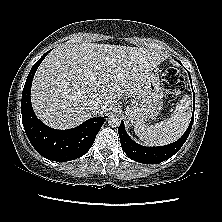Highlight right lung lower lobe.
I'll use <instances>...</instances> for the list:
<instances>
[{
    "label": "right lung lower lobe",
    "instance_id": "98d812e1",
    "mask_svg": "<svg viewBox=\"0 0 222 222\" xmlns=\"http://www.w3.org/2000/svg\"><path fill=\"white\" fill-rule=\"evenodd\" d=\"M46 52L32 67L22 92V122L29 141L43 157L63 162L83 156L92 146L106 117L90 118L81 125L67 130H56L46 126L35 115L30 99L34 74Z\"/></svg>",
    "mask_w": 222,
    "mask_h": 222
}]
</instances>
